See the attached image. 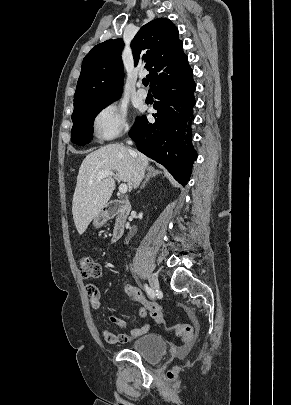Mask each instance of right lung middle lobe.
I'll return each instance as SVG.
<instances>
[{"instance_id": "obj_1", "label": "right lung middle lobe", "mask_w": 291, "mask_h": 405, "mask_svg": "<svg viewBox=\"0 0 291 405\" xmlns=\"http://www.w3.org/2000/svg\"><path fill=\"white\" fill-rule=\"evenodd\" d=\"M113 101L93 105L72 114L71 141L74 144L85 145L91 141L94 117Z\"/></svg>"}]
</instances>
